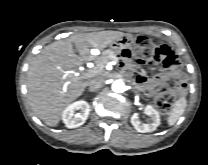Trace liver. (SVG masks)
<instances>
[{
  "label": "liver",
  "instance_id": "1",
  "mask_svg": "<svg viewBox=\"0 0 208 165\" xmlns=\"http://www.w3.org/2000/svg\"><path fill=\"white\" fill-rule=\"evenodd\" d=\"M125 36L119 31L76 34L47 45L31 62L27 73V96L36 116L48 126H56L63 110L76 100L90 80L70 70L95 56L91 48L103 50ZM73 44L80 56L73 50Z\"/></svg>",
  "mask_w": 208,
  "mask_h": 165
}]
</instances>
